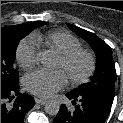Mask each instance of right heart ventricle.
I'll use <instances>...</instances> for the list:
<instances>
[{
  "label": "right heart ventricle",
  "instance_id": "e07e8e85",
  "mask_svg": "<svg viewBox=\"0 0 123 123\" xmlns=\"http://www.w3.org/2000/svg\"><path fill=\"white\" fill-rule=\"evenodd\" d=\"M30 39L37 47L53 49L58 54L81 48L80 40L68 31L54 30L46 33L36 32Z\"/></svg>",
  "mask_w": 123,
  "mask_h": 123
}]
</instances>
